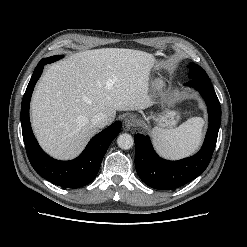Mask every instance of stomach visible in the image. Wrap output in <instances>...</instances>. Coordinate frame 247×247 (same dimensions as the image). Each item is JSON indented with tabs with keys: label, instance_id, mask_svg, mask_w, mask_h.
<instances>
[{
	"label": "stomach",
	"instance_id": "1",
	"mask_svg": "<svg viewBox=\"0 0 247 247\" xmlns=\"http://www.w3.org/2000/svg\"><path fill=\"white\" fill-rule=\"evenodd\" d=\"M147 121L153 119L157 122V125L164 129H171L173 128L176 123L178 122L179 115L175 111H165L158 115L151 114L148 117H145Z\"/></svg>",
	"mask_w": 247,
	"mask_h": 247
}]
</instances>
